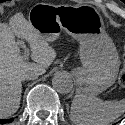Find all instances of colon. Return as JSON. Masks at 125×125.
<instances>
[{"instance_id": "obj_1", "label": "colon", "mask_w": 125, "mask_h": 125, "mask_svg": "<svg viewBox=\"0 0 125 125\" xmlns=\"http://www.w3.org/2000/svg\"><path fill=\"white\" fill-rule=\"evenodd\" d=\"M119 82L122 86H125V45H124V53H123V68L120 72Z\"/></svg>"}]
</instances>
